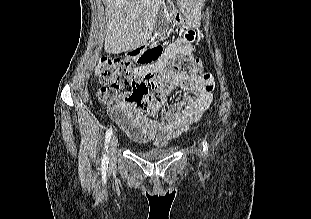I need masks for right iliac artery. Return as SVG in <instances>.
Segmentation results:
<instances>
[{"label": "right iliac artery", "mask_w": 311, "mask_h": 219, "mask_svg": "<svg viewBox=\"0 0 311 219\" xmlns=\"http://www.w3.org/2000/svg\"><path fill=\"white\" fill-rule=\"evenodd\" d=\"M111 136H112V129L109 128L107 131H106V135H105V149L107 151L108 149V144L110 142V139H111ZM108 156L106 154H104L103 156V160H102V166L103 167H108Z\"/></svg>", "instance_id": "82829eb1"}]
</instances>
